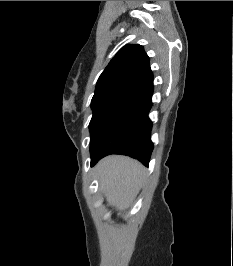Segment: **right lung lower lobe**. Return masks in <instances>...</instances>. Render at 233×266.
<instances>
[{"label":"right lung lower lobe","mask_w":233,"mask_h":266,"mask_svg":"<svg viewBox=\"0 0 233 266\" xmlns=\"http://www.w3.org/2000/svg\"><path fill=\"white\" fill-rule=\"evenodd\" d=\"M152 93L153 91L97 151L91 153V166L109 154L128 155L148 165L153 150L150 138L152 122L148 118Z\"/></svg>","instance_id":"98d812e1"}]
</instances>
